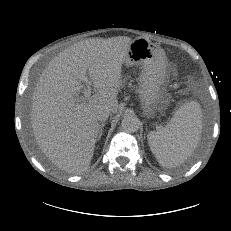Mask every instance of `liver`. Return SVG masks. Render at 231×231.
Segmentation results:
<instances>
[{
  "instance_id": "1",
  "label": "liver",
  "mask_w": 231,
  "mask_h": 231,
  "mask_svg": "<svg viewBox=\"0 0 231 231\" xmlns=\"http://www.w3.org/2000/svg\"><path fill=\"white\" fill-rule=\"evenodd\" d=\"M131 38L90 39L78 42L52 59L41 74L32 96L31 125L38 146L58 168L78 174L91 163L100 131L97 112L118 110V88ZM89 76L96 93L78 107Z\"/></svg>"
}]
</instances>
